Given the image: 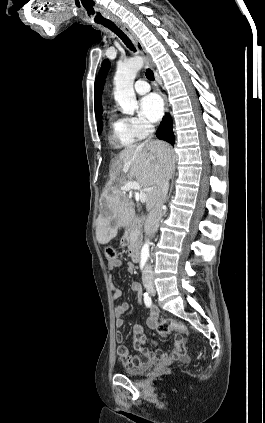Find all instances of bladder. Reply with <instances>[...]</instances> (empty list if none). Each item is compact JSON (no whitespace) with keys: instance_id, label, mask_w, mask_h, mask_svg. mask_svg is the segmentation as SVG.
<instances>
[{"instance_id":"31cf9c89","label":"bladder","mask_w":265,"mask_h":423,"mask_svg":"<svg viewBox=\"0 0 265 423\" xmlns=\"http://www.w3.org/2000/svg\"><path fill=\"white\" fill-rule=\"evenodd\" d=\"M150 366L151 363L145 362L144 364L138 367H126L124 368L123 373L128 376H138L146 372Z\"/></svg>"}]
</instances>
